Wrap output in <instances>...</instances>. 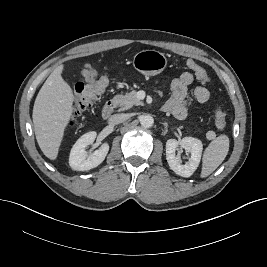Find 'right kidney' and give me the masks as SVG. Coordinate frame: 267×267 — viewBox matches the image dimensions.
Here are the masks:
<instances>
[{"mask_svg":"<svg viewBox=\"0 0 267 267\" xmlns=\"http://www.w3.org/2000/svg\"><path fill=\"white\" fill-rule=\"evenodd\" d=\"M96 135L94 131L88 132L81 136L73 145L69 156V165L72 169L87 171L97 167L104 161L109 151L108 143H103L98 150L89 156L85 150L86 146L94 142Z\"/></svg>","mask_w":267,"mask_h":267,"instance_id":"1","label":"right kidney"}]
</instances>
